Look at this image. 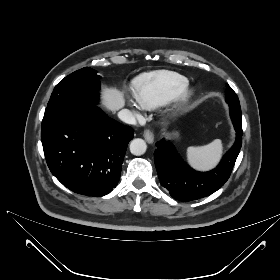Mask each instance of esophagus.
I'll return each mask as SVG.
<instances>
[{
  "mask_svg": "<svg viewBox=\"0 0 280 280\" xmlns=\"http://www.w3.org/2000/svg\"><path fill=\"white\" fill-rule=\"evenodd\" d=\"M143 136L148 143H153L154 141V134L151 130L146 129L143 132Z\"/></svg>",
  "mask_w": 280,
  "mask_h": 280,
  "instance_id": "1",
  "label": "esophagus"
}]
</instances>
